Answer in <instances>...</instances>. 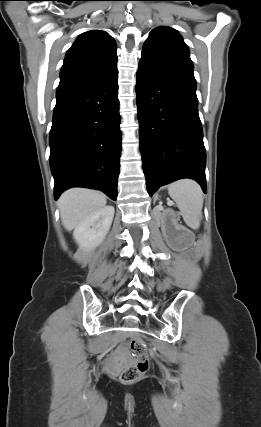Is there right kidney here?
I'll list each match as a JSON object with an SVG mask.
<instances>
[{
	"mask_svg": "<svg viewBox=\"0 0 261 427\" xmlns=\"http://www.w3.org/2000/svg\"><path fill=\"white\" fill-rule=\"evenodd\" d=\"M114 212L113 206H105L74 229L73 237L80 248L93 249L104 240L111 227Z\"/></svg>",
	"mask_w": 261,
	"mask_h": 427,
	"instance_id": "1",
	"label": "right kidney"
}]
</instances>
